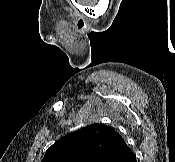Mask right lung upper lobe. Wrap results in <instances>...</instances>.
Returning a JSON list of instances; mask_svg holds the SVG:
<instances>
[{"label": "right lung upper lobe", "mask_w": 175, "mask_h": 162, "mask_svg": "<svg viewBox=\"0 0 175 162\" xmlns=\"http://www.w3.org/2000/svg\"><path fill=\"white\" fill-rule=\"evenodd\" d=\"M130 151L114 128L92 124L56 141L41 162H114Z\"/></svg>", "instance_id": "right-lung-upper-lobe-1"}]
</instances>
